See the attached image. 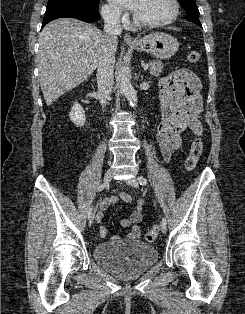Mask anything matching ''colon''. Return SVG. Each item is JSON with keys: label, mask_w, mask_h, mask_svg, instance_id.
Instances as JSON below:
<instances>
[{"label": "colon", "mask_w": 245, "mask_h": 314, "mask_svg": "<svg viewBox=\"0 0 245 314\" xmlns=\"http://www.w3.org/2000/svg\"><path fill=\"white\" fill-rule=\"evenodd\" d=\"M187 60L191 64H196L200 61V54L198 51H190L187 54ZM203 143L201 139L195 138L191 143L190 152L185 163V167L188 171L193 170L202 154ZM159 233V225L154 224L144 235V240L147 242H153Z\"/></svg>", "instance_id": "5ec220e1"}]
</instances>
